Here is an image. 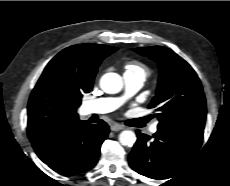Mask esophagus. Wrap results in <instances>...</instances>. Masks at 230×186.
<instances>
[{
    "label": "esophagus",
    "mask_w": 230,
    "mask_h": 186,
    "mask_svg": "<svg viewBox=\"0 0 230 186\" xmlns=\"http://www.w3.org/2000/svg\"><path fill=\"white\" fill-rule=\"evenodd\" d=\"M110 128L112 131H120V130L125 129L123 125H118V124L111 125Z\"/></svg>",
    "instance_id": "obj_1"
}]
</instances>
